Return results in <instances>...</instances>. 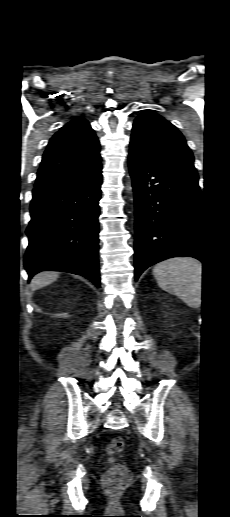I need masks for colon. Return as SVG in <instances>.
Instances as JSON below:
<instances>
[{"label":"colon","mask_w":230,"mask_h":517,"mask_svg":"<svg viewBox=\"0 0 230 517\" xmlns=\"http://www.w3.org/2000/svg\"><path fill=\"white\" fill-rule=\"evenodd\" d=\"M125 443L121 437H114L106 446V453L113 455L124 449ZM131 480L129 470L120 463L113 462L111 467L106 471L103 478V487L105 491L114 496L127 487Z\"/></svg>","instance_id":"5ec220e1"}]
</instances>
